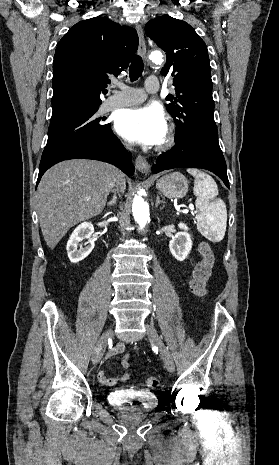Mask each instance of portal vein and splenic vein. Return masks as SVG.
<instances>
[{"label":"portal vein and splenic vein","mask_w":279,"mask_h":465,"mask_svg":"<svg viewBox=\"0 0 279 465\" xmlns=\"http://www.w3.org/2000/svg\"><path fill=\"white\" fill-rule=\"evenodd\" d=\"M86 200H87V201H90V200H91V198L87 197V198H86Z\"/></svg>","instance_id":"portal-vein-and-splenic-vein-1"}]
</instances>
